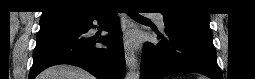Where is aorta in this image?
<instances>
[{
    "mask_svg": "<svg viewBox=\"0 0 255 79\" xmlns=\"http://www.w3.org/2000/svg\"><path fill=\"white\" fill-rule=\"evenodd\" d=\"M140 78V72L139 67L137 63L130 68V70L126 74V79H139Z\"/></svg>",
    "mask_w": 255,
    "mask_h": 79,
    "instance_id": "obj_1",
    "label": "aorta"
}]
</instances>
